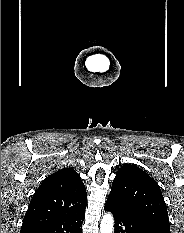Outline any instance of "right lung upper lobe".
I'll list each match as a JSON object with an SVG mask.
<instances>
[{"instance_id": "right-lung-upper-lobe-1", "label": "right lung upper lobe", "mask_w": 184, "mask_h": 233, "mask_svg": "<svg viewBox=\"0 0 184 233\" xmlns=\"http://www.w3.org/2000/svg\"><path fill=\"white\" fill-rule=\"evenodd\" d=\"M86 188L80 175L64 168L48 176L34 193L21 233L85 214Z\"/></svg>"}]
</instances>
